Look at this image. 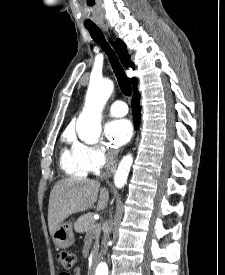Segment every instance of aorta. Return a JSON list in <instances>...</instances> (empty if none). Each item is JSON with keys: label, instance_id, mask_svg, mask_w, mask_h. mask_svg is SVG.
<instances>
[{"label": "aorta", "instance_id": "aorta-1", "mask_svg": "<svg viewBox=\"0 0 225 275\" xmlns=\"http://www.w3.org/2000/svg\"><path fill=\"white\" fill-rule=\"evenodd\" d=\"M113 89V82L109 79L90 80L85 105L76 122L78 137L88 144L96 143L101 134V112ZM132 163L131 154L121 159L114 174V183L117 188H122L127 182ZM95 275H108L107 264L101 262L96 268Z\"/></svg>", "mask_w": 225, "mask_h": 275}]
</instances>
